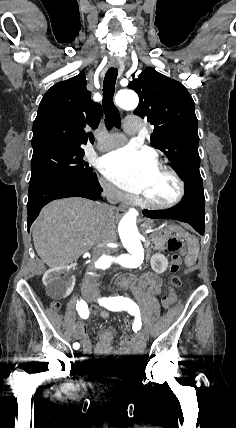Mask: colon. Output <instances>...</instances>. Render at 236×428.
<instances>
[{"mask_svg":"<svg viewBox=\"0 0 236 428\" xmlns=\"http://www.w3.org/2000/svg\"><path fill=\"white\" fill-rule=\"evenodd\" d=\"M167 248L170 252H173V259H172V265H171V276L169 278V289L167 294L163 297L162 304L165 309H168L172 304L175 303L177 299L176 291L175 289L181 286V278L177 275V272L179 271V268L182 263V259L180 254L183 252V242L182 240L177 236H171L168 238L167 241ZM52 308L54 310L60 309V304L57 302H54L52 304ZM131 322L129 320L125 321L126 328L131 327Z\"/></svg>","mask_w":236,"mask_h":428,"instance_id":"obj_1","label":"colon"}]
</instances>
